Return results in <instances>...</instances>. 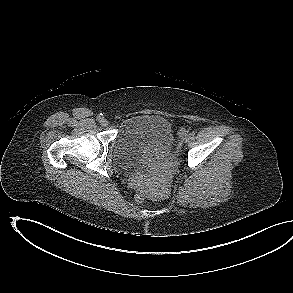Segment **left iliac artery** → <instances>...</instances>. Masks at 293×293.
I'll return each instance as SVG.
<instances>
[{
	"label": "left iliac artery",
	"mask_w": 293,
	"mask_h": 293,
	"mask_svg": "<svg viewBox=\"0 0 293 293\" xmlns=\"http://www.w3.org/2000/svg\"><path fill=\"white\" fill-rule=\"evenodd\" d=\"M190 137H194V135H195V132L194 131H192L190 134Z\"/></svg>",
	"instance_id": "left-iliac-artery-1"
}]
</instances>
